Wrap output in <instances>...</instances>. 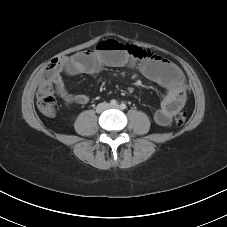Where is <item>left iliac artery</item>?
<instances>
[{
	"instance_id": "1",
	"label": "left iliac artery",
	"mask_w": 227,
	"mask_h": 227,
	"mask_svg": "<svg viewBox=\"0 0 227 227\" xmlns=\"http://www.w3.org/2000/svg\"><path fill=\"white\" fill-rule=\"evenodd\" d=\"M126 107H127V106H126V104H124V103H122V104L120 105V108L123 109V110L126 109Z\"/></svg>"
}]
</instances>
